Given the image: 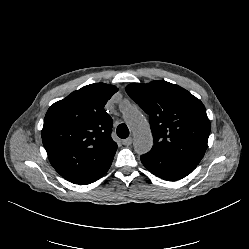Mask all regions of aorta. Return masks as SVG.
<instances>
[{"instance_id":"1","label":"aorta","mask_w":249,"mask_h":249,"mask_svg":"<svg viewBox=\"0 0 249 249\" xmlns=\"http://www.w3.org/2000/svg\"><path fill=\"white\" fill-rule=\"evenodd\" d=\"M122 112L127 125L133 133L135 152L137 154L147 153L153 146V136L149 122L129 103L123 106Z\"/></svg>"}]
</instances>
